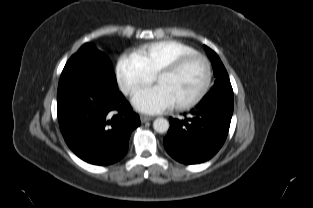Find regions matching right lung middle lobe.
Here are the masks:
<instances>
[{"label": "right lung middle lobe", "mask_w": 313, "mask_h": 208, "mask_svg": "<svg viewBox=\"0 0 313 208\" xmlns=\"http://www.w3.org/2000/svg\"><path fill=\"white\" fill-rule=\"evenodd\" d=\"M79 55H89L92 57H95L96 59L102 61L103 64H105L107 67H110V62L109 59L107 58V56L99 51L98 49H96L92 44L90 43H86L84 44L76 54H74L69 61L66 64V67L70 66L78 57Z\"/></svg>", "instance_id": "obj_1"}]
</instances>
